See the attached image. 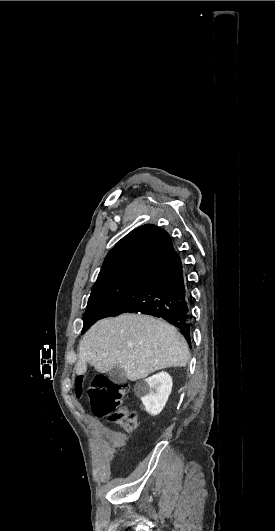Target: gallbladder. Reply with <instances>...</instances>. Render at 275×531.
Listing matches in <instances>:
<instances>
[{"mask_svg":"<svg viewBox=\"0 0 275 531\" xmlns=\"http://www.w3.org/2000/svg\"><path fill=\"white\" fill-rule=\"evenodd\" d=\"M108 379H110L112 383H116V385H121V383H126L127 375L124 373L123 369H120V367H114V369L109 371Z\"/></svg>","mask_w":275,"mask_h":531,"instance_id":"obj_1","label":"gallbladder"}]
</instances>
